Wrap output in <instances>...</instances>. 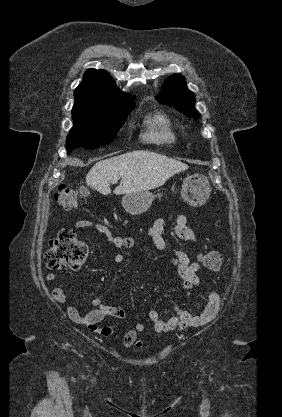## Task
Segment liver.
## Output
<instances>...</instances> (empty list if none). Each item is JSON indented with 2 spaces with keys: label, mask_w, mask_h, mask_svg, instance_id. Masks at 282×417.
Masks as SVG:
<instances>
[{
  "label": "liver",
  "mask_w": 282,
  "mask_h": 417,
  "mask_svg": "<svg viewBox=\"0 0 282 417\" xmlns=\"http://www.w3.org/2000/svg\"><path fill=\"white\" fill-rule=\"evenodd\" d=\"M188 164L150 150H132L96 162L86 174V184L101 194H110V182L121 178L114 194L140 192L162 186L170 176L187 170Z\"/></svg>",
  "instance_id": "1"
}]
</instances>
